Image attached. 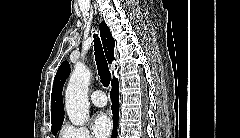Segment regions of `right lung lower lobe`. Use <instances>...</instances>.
<instances>
[{"instance_id": "obj_1", "label": "right lung lower lobe", "mask_w": 240, "mask_h": 138, "mask_svg": "<svg viewBox=\"0 0 240 138\" xmlns=\"http://www.w3.org/2000/svg\"><path fill=\"white\" fill-rule=\"evenodd\" d=\"M110 96L112 100V110L114 115V131L112 133V138H117V123L119 116V83L117 79L112 81V90L110 92Z\"/></svg>"}]
</instances>
